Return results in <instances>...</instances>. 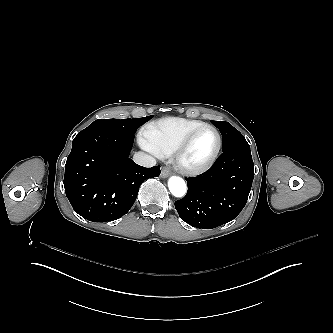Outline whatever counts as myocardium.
Instances as JSON below:
<instances>
[{"label":"myocardium","instance_id":"obj_1","mask_svg":"<svg viewBox=\"0 0 333 333\" xmlns=\"http://www.w3.org/2000/svg\"><path fill=\"white\" fill-rule=\"evenodd\" d=\"M205 128H209V129L213 130L217 137V147H216L214 154L206 163H204L202 165L189 166V165L184 164L182 159H183V155H184L189 143L191 142L193 137L198 132H200L201 130H203ZM221 149H222V137H221V134L218 131V129L211 124H204V125H201L199 127L192 129L191 131H189L187 134H185L183 136V138L180 140V142L178 143V145L176 146V148L172 154L171 162H172L174 169L176 171H178L179 173L188 175V176H196V175H199V174H202V173L208 171L209 169H211L214 166V164L216 163V161L220 155Z\"/></svg>","mask_w":333,"mask_h":333}]
</instances>
